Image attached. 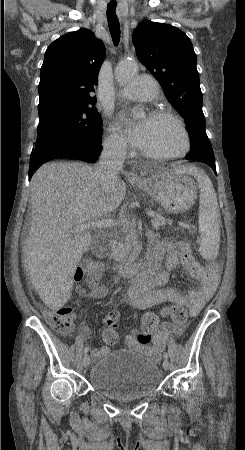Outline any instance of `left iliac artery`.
I'll return each instance as SVG.
<instances>
[{
	"label": "left iliac artery",
	"mask_w": 245,
	"mask_h": 450,
	"mask_svg": "<svg viewBox=\"0 0 245 450\" xmlns=\"http://www.w3.org/2000/svg\"><path fill=\"white\" fill-rule=\"evenodd\" d=\"M164 358L168 359V354L166 352L164 353Z\"/></svg>",
	"instance_id": "1"
}]
</instances>
